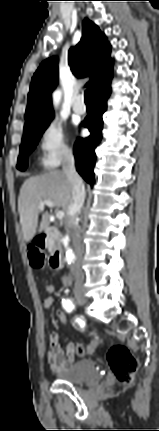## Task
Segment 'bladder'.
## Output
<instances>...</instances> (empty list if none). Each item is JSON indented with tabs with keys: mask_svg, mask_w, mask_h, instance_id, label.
Listing matches in <instances>:
<instances>
[{
	"mask_svg": "<svg viewBox=\"0 0 159 431\" xmlns=\"http://www.w3.org/2000/svg\"><path fill=\"white\" fill-rule=\"evenodd\" d=\"M56 377L71 384H83L89 381L99 380L102 377L101 370L89 359L80 360L67 369L56 373Z\"/></svg>",
	"mask_w": 159,
	"mask_h": 431,
	"instance_id": "bladder-1",
	"label": "bladder"
}]
</instances>
